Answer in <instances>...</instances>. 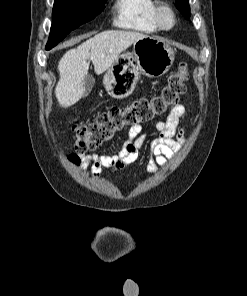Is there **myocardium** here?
<instances>
[{"instance_id": "1", "label": "myocardium", "mask_w": 247, "mask_h": 296, "mask_svg": "<svg viewBox=\"0 0 247 296\" xmlns=\"http://www.w3.org/2000/svg\"><path fill=\"white\" fill-rule=\"evenodd\" d=\"M156 20L161 29H172L176 24V16L172 7L166 3L158 4L156 8Z\"/></svg>"}]
</instances>
